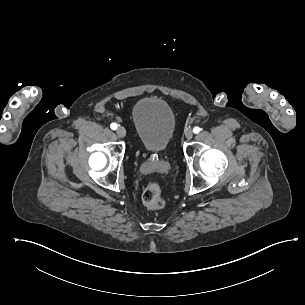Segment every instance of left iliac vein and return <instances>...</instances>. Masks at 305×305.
Segmentation results:
<instances>
[{
  "label": "left iliac vein",
  "mask_w": 305,
  "mask_h": 305,
  "mask_svg": "<svg viewBox=\"0 0 305 305\" xmlns=\"http://www.w3.org/2000/svg\"><path fill=\"white\" fill-rule=\"evenodd\" d=\"M185 137H186L187 139H191V138L193 137V131H192L191 129H187V130L185 131Z\"/></svg>",
  "instance_id": "obj_1"
}]
</instances>
